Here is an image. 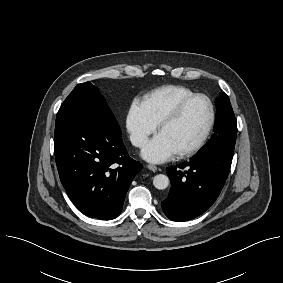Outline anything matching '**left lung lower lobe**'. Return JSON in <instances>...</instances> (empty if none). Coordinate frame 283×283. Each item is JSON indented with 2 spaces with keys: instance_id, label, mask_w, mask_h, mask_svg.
Masks as SVG:
<instances>
[{
  "instance_id": "0a47b994",
  "label": "left lung lower lobe",
  "mask_w": 283,
  "mask_h": 283,
  "mask_svg": "<svg viewBox=\"0 0 283 283\" xmlns=\"http://www.w3.org/2000/svg\"><path fill=\"white\" fill-rule=\"evenodd\" d=\"M232 158L219 149H202L189 162L167 168L171 189L161 202L165 215L173 221H186L204 213L219 196Z\"/></svg>"
}]
</instances>
